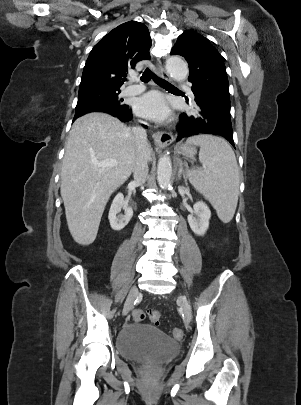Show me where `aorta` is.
<instances>
[{
	"instance_id": "obj_1",
	"label": "aorta",
	"mask_w": 301,
	"mask_h": 405,
	"mask_svg": "<svg viewBox=\"0 0 301 405\" xmlns=\"http://www.w3.org/2000/svg\"><path fill=\"white\" fill-rule=\"evenodd\" d=\"M166 70L176 81H184L189 74L187 63L179 56H172L166 60ZM171 175V159L166 153L159 159L157 165V181L162 189L170 187Z\"/></svg>"
}]
</instances>
